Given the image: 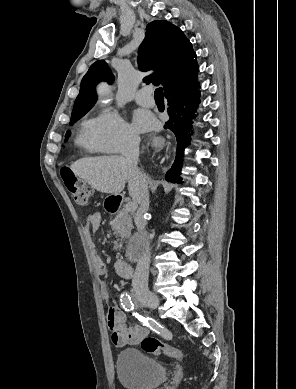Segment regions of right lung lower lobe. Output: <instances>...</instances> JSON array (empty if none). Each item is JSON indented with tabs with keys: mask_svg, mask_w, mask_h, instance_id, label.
I'll use <instances>...</instances> for the list:
<instances>
[{
	"mask_svg": "<svg viewBox=\"0 0 296 389\" xmlns=\"http://www.w3.org/2000/svg\"><path fill=\"white\" fill-rule=\"evenodd\" d=\"M200 88L195 84H175L170 86L164 93L168 101V114L170 119L165 128L171 129L176 137L177 149L172 167L168 170L165 177L170 182L180 183V177L183 152L189 143L190 137L188 131H191V119L195 117L197 107L200 103Z\"/></svg>",
	"mask_w": 296,
	"mask_h": 389,
	"instance_id": "obj_1",
	"label": "right lung lower lobe"
}]
</instances>
